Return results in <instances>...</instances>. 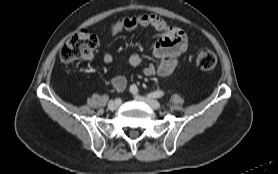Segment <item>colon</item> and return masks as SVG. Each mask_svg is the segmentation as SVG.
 Listing matches in <instances>:
<instances>
[{
	"mask_svg": "<svg viewBox=\"0 0 278 174\" xmlns=\"http://www.w3.org/2000/svg\"><path fill=\"white\" fill-rule=\"evenodd\" d=\"M97 46L98 39L95 35L86 30H78L62 46L60 58L66 63L88 58ZM196 64L202 71H211L217 64L216 55L209 49H201L196 55Z\"/></svg>",
	"mask_w": 278,
	"mask_h": 174,
	"instance_id": "obj_1",
	"label": "colon"
}]
</instances>
